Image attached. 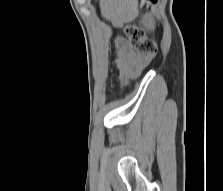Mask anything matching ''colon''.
Here are the masks:
<instances>
[{
	"label": "colon",
	"mask_w": 223,
	"mask_h": 191,
	"mask_svg": "<svg viewBox=\"0 0 223 191\" xmlns=\"http://www.w3.org/2000/svg\"><path fill=\"white\" fill-rule=\"evenodd\" d=\"M155 2L156 0H148L150 4ZM124 34L128 38L133 49L145 58V63H149L156 57V44L145 35L141 28L134 24H128L124 27Z\"/></svg>",
	"instance_id": "5ec220e1"
}]
</instances>
